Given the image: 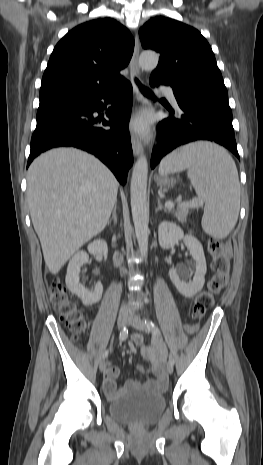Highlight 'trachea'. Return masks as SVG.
<instances>
[{"label":"trachea","instance_id":"1","mask_svg":"<svg viewBox=\"0 0 263 465\" xmlns=\"http://www.w3.org/2000/svg\"><path fill=\"white\" fill-rule=\"evenodd\" d=\"M140 91L147 97L153 96V93L146 87H144L137 79H135Z\"/></svg>","mask_w":263,"mask_h":465}]
</instances>
